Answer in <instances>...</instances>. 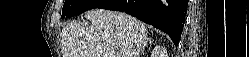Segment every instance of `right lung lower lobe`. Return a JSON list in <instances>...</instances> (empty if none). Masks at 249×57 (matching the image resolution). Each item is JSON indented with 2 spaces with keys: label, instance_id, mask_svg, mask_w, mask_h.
Returning <instances> with one entry per match:
<instances>
[{
  "label": "right lung lower lobe",
  "instance_id": "obj_1",
  "mask_svg": "<svg viewBox=\"0 0 249 57\" xmlns=\"http://www.w3.org/2000/svg\"><path fill=\"white\" fill-rule=\"evenodd\" d=\"M187 5V0H108L99 8L128 13L167 33L177 46Z\"/></svg>",
  "mask_w": 249,
  "mask_h": 57
}]
</instances>
